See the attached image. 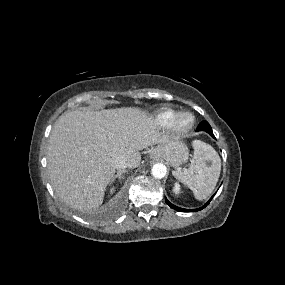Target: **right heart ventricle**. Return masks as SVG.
Returning a JSON list of instances; mask_svg holds the SVG:
<instances>
[{
  "label": "right heart ventricle",
  "mask_w": 285,
  "mask_h": 285,
  "mask_svg": "<svg viewBox=\"0 0 285 285\" xmlns=\"http://www.w3.org/2000/svg\"><path fill=\"white\" fill-rule=\"evenodd\" d=\"M176 113L172 110H164L156 115V121L163 125H170L173 123Z\"/></svg>",
  "instance_id": "1"
}]
</instances>
